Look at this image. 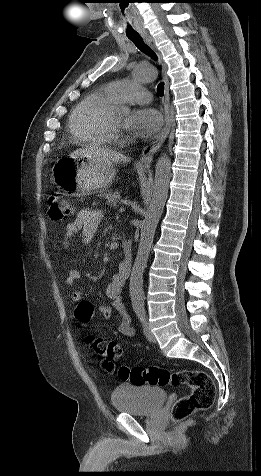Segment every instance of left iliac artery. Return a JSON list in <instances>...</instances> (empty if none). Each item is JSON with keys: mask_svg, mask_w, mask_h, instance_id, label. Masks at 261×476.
<instances>
[{"mask_svg": "<svg viewBox=\"0 0 261 476\" xmlns=\"http://www.w3.org/2000/svg\"><path fill=\"white\" fill-rule=\"evenodd\" d=\"M134 311L138 316L139 320L143 323L145 321V309L143 305H136Z\"/></svg>", "mask_w": 261, "mask_h": 476, "instance_id": "1", "label": "left iliac artery"}]
</instances>
